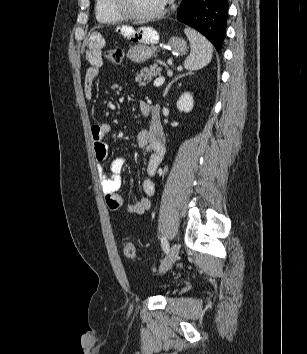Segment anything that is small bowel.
<instances>
[{"label":"small bowel","mask_w":307,"mask_h":354,"mask_svg":"<svg viewBox=\"0 0 307 354\" xmlns=\"http://www.w3.org/2000/svg\"><path fill=\"white\" fill-rule=\"evenodd\" d=\"M122 38H136L137 29L119 30ZM105 42L102 38H91L87 45L85 54L88 68L85 71L83 79L84 94L87 99L93 97V87L95 80L100 75V69L103 65L102 50ZM140 109L143 115L149 119L147 128L139 132L137 142L140 148L149 152L150 156L147 162V174L150 178H145L141 182V189L144 196L137 202L127 207L129 214L141 215L151 207V197L155 194V184L153 177L164 157V133L159 121L158 110L156 107L142 101ZM111 126L109 123H99L92 125L91 138L93 140L95 157L99 164L103 163L108 155V145L105 137L109 134ZM124 157H115L109 167V172H104L100 167V178L102 191L105 194L106 203L109 209L116 211L123 206V198L117 193L122 184L121 173L125 166Z\"/></svg>","instance_id":"1"}]
</instances>
